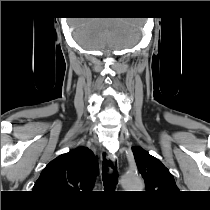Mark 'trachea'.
<instances>
[{
  "label": "trachea",
  "instance_id": "1",
  "mask_svg": "<svg viewBox=\"0 0 210 210\" xmlns=\"http://www.w3.org/2000/svg\"><path fill=\"white\" fill-rule=\"evenodd\" d=\"M102 179H103V184L104 187H115L118 183V174L117 171L115 170L111 174L107 173L106 171H103L102 173Z\"/></svg>",
  "mask_w": 210,
  "mask_h": 210
}]
</instances>
